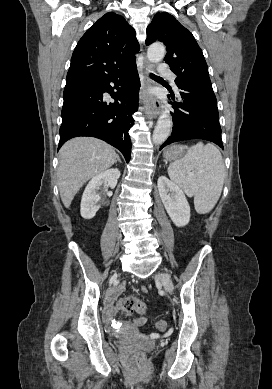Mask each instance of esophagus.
Instances as JSON below:
<instances>
[{"label": "esophagus", "instance_id": "obj_1", "mask_svg": "<svg viewBox=\"0 0 272 389\" xmlns=\"http://www.w3.org/2000/svg\"><path fill=\"white\" fill-rule=\"evenodd\" d=\"M152 71V66L148 62V60L144 61L143 64V75H144V87L150 88L154 85V81L150 78V72ZM143 98L146 102L145 105V113L148 118H156L162 109L161 102L154 98V97H147L145 94L143 95Z\"/></svg>", "mask_w": 272, "mask_h": 389}]
</instances>
